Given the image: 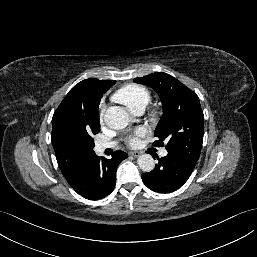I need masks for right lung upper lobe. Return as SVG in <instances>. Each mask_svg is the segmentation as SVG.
Returning <instances> with one entry per match:
<instances>
[{
  "mask_svg": "<svg viewBox=\"0 0 257 257\" xmlns=\"http://www.w3.org/2000/svg\"><path fill=\"white\" fill-rule=\"evenodd\" d=\"M114 80L85 79L65 96L52 118L51 142L58 165L68 183L73 182L95 155L86 137L99 119L96 105Z\"/></svg>",
  "mask_w": 257,
  "mask_h": 257,
  "instance_id": "1",
  "label": "right lung upper lobe"
}]
</instances>
